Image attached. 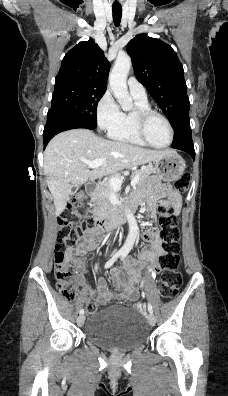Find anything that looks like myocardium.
I'll return each mask as SVG.
<instances>
[{
    "instance_id": "f54148a6",
    "label": "myocardium",
    "mask_w": 228,
    "mask_h": 396,
    "mask_svg": "<svg viewBox=\"0 0 228 396\" xmlns=\"http://www.w3.org/2000/svg\"><path fill=\"white\" fill-rule=\"evenodd\" d=\"M132 114H133V120H134V124H135V128H136V132H137L138 136L141 138V140L146 145H148L152 148H155V149H166L172 144L173 139H174V129H173V126H172L170 120L163 113H161L155 109H152V108L135 107ZM152 116L160 117L166 123V125L168 127L170 138H169L168 143L164 146L154 145L152 142H150V140L147 137L146 125H147L148 120Z\"/></svg>"
}]
</instances>
